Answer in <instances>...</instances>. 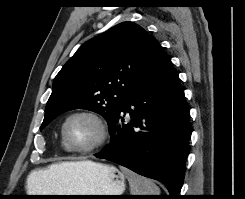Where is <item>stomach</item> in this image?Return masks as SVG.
Returning a JSON list of instances; mask_svg holds the SVG:
<instances>
[{
  "label": "stomach",
  "mask_w": 245,
  "mask_h": 199,
  "mask_svg": "<svg viewBox=\"0 0 245 199\" xmlns=\"http://www.w3.org/2000/svg\"><path fill=\"white\" fill-rule=\"evenodd\" d=\"M125 190V176L114 166L89 163L73 171L66 190L49 195H121ZM101 196H76L51 199H102Z\"/></svg>",
  "instance_id": "1"
}]
</instances>
